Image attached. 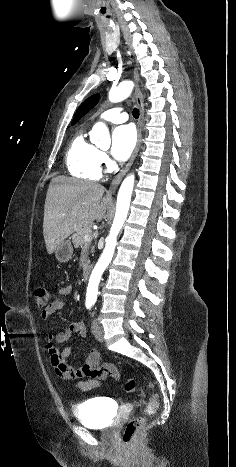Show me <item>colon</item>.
Returning a JSON list of instances; mask_svg holds the SVG:
<instances>
[{
    "mask_svg": "<svg viewBox=\"0 0 236 467\" xmlns=\"http://www.w3.org/2000/svg\"><path fill=\"white\" fill-rule=\"evenodd\" d=\"M36 303L40 308H44L48 305L50 300V291L45 285H39L35 288L34 291ZM148 387L153 388L151 381L146 380ZM137 387V382L135 379L130 378L126 381L124 389L126 392H133ZM158 405V395L153 393L150 397L149 403L145 409L147 414H152L156 411ZM144 418L138 417L130 422H128L122 432V440L125 444H131L134 441V438L137 432L144 425Z\"/></svg>",
    "mask_w": 236,
    "mask_h": 467,
    "instance_id": "5ec220e1",
    "label": "colon"
}]
</instances>
